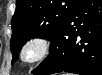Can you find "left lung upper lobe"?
Here are the masks:
<instances>
[{
    "label": "left lung upper lobe",
    "instance_id": "1",
    "mask_svg": "<svg viewBox=\"0 0 102 75\" xmlns=\"http://www.w3.org/2000/svg\"><path fill=\"white\" fill-rule=\"evenodd\" d=\"M81 0H16L12 17L10 48L12 63L22 46L31 38L51 40L56 30Z\"/></svg>",
    "mask_w": 102,
    "mask_h": 75
}]
</instances>
